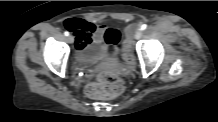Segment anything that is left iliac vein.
<instances>
[{
  "label": "left iliac vein",
  "mask_w": 218,
  "mask_h": 122,
  "mask_svg": "<svg viewBox=\"0 0 218 122\" xmlns=\"http://www.w3.org/2000/svg\"><path fill=\"white\" fill-rule=\"evenodd\" d=\"M142 35H143V32L141 29L137 30L136 33H135V39H140L142 38Z\"/></svg>",
  "instance_id": "4c4485c4"
}]
</instances>
